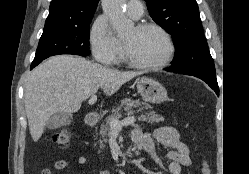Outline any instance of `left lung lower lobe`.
<instances>
[{
  "mask_svg": "<svg viewBox=\"0 0 249 174\" xmlns=\"http://www.w3.org/2000/svg\"><path fill=\"white\" fill-rule=\"evenodd\" d=\"M165 70L168 72H175V73L191 75V76L200 78L201 80L205 81L219 96V87H218L215 71H211V70L177 71L176 69L172 67L165 68Z\"/></svg>",
  "mask_w": 249,
  "mask_h": 174,
  "instance_id": "1",
  "label": "left lung lower lobe"
}]
</instances>
